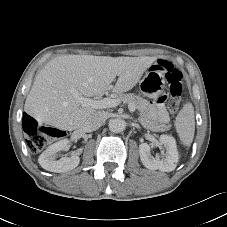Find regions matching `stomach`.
Segmentation results:
<instances>
[{
  "label": "stomach",
  "instance_id": "obj_1",
  "mask_svg": "<svg viewBox=\"0 0 227 227\" xmlns=\"http://www.w3.org/2000/svg\"><path fill=\"white\" fill-rule=\"evenodd\" d=\"M165 88L164 76L154 68L147 71L139 81L140 92L148 98L159 97Z\"/></svg>",
  "mask_w": 227,
  "mask_h": 227
}]
</instances>
